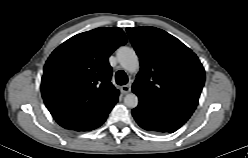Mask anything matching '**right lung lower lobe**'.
<instances>
[{"mask_svg": "<svg viewBox=\"0 0 248 158\" xmlns=\"http://www.w3.org/2000/svg\"><path fill=\"white\" fill-rule=\"evenodd\" d=\"M110 110L105 115H103L102 117H100L99 119H97L95 121H92L89 124L84 125V126H82L80 128L74 129V130H76V131H90V130H93V129L98 128L99 126H101L104 123V121L106 120L107 115L110 112Z\"/></svg>", "mask_w": 248, "mask_h": 158, "instance_id": "right-lung-lower-lobe-1", "label": "right lung lower lobe"}]
</instances>
